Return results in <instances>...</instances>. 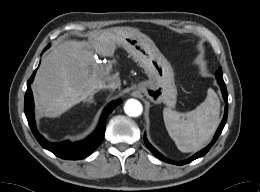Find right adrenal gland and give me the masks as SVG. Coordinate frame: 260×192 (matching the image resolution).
<instances>
[{"label":"right adrenal gland","instance_id":"right-adrenal-gland-1","mask_svg":"<svg viewBox=\"0 0 260 192\" xmlns=\"http://www.w3.org/2000/svg\"><path fill=\"white\" fill-rule=\"evenodd\" d=\"M95 93H97V91H95L87 100H85V102L96 104L95 101L93 100V96H94Z\"/></svg>","mask_w":260,"mask_h":192}]
</instances>
